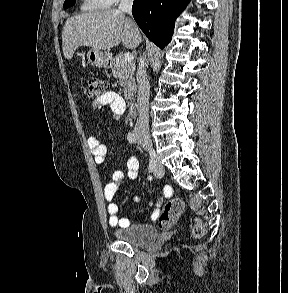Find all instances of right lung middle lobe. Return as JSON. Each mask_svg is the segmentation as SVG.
Wrapping results in <instances>:
<instances>
[{"label": "right lung middle lobe", "mask_w": 288, "mask_h": 293, "mask_svg": "<svg viewBox=\"0 0 288 293\" xmlns=\"http://www.w3.org/2000/svg\"><path fill=\"white\" fill-rule=\"evenodd\" d=\"M75 3V0H65L64 8H69Z\"/></svg>", "instance_id": "obj_1"}]
</instances>
